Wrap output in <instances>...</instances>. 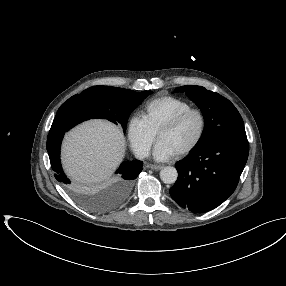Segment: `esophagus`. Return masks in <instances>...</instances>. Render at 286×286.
Wrapping results in <instances>:
<instances>
[{"label": "esophagus", "instance_id": "obj_1", "mask_svg": "<svg viewBox=\"0 0 286 286\" xmlns=\"http://www.w3.org/2000/svg\"><path fill=\"white\" fill-rule=\"evenodd\" d=\"M149 167L153 170H161L163 168L162 165H155V164H151Z\"/></svg>", "mask_w": 286, "mask_h": 286}]
</instances>
